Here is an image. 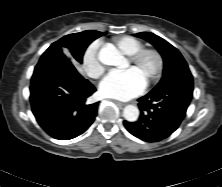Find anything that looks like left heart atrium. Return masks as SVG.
Listing matches in <instances>:
<instances>
[{"mask_svg":"<svg viewBox=\"0 0 222 187\" xmlns=\"http://www.w3.org/2000/svg\"><path fill=\"white\" fill-rule=\"evenodd\" d=\"M146 81L137 69L110 72L101 82L99 90L107 98L129 100L144 90Z\"/></svg>","mask_w":222,"mask_h":187,"instance_id":"obj_1","label":"left heart atrium"}]
</instances>
